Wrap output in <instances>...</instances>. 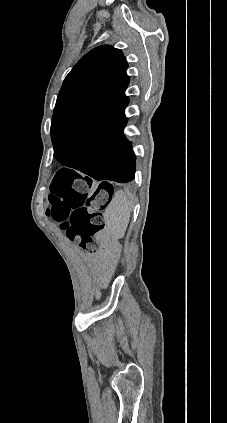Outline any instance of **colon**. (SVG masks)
Listing matches in <instances>:
<instances>
[{"label": "colon", "mask_w": 227, "mask_h": 423, "mask_svg": "<svg viewBox=\"0 0 227 423\" xmlns=\"http://www.w3.org/2000/svg\"><path fill=\"white\" fill-rule=\"evenodd\" d=\"M113 188L73 172H58L51 185L48 215L66 231L70 240L84 249L94 250V235L103 227L102 211L111 199Z\"/></svg>", "instance_id": "5ec220e1"}]
</instances>
